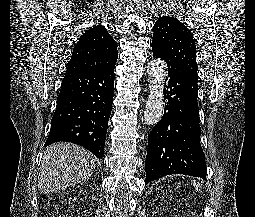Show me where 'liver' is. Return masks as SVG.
Wrapping results in <instances>:
<instances>
[{
	"label": "liver",
	"mask_w": 255,
	"mask_h": 217,
	"mask_svg": "<svg viewBox=\"0 0 255 217\" xmlns=\"http://www.w3.org/2000/svg\"><path fill=\"white\" fill-rule=\"evenodd\" d=\"M95 157L76 144L61 142L50 145L43 154L38 189L48 194L78 184L91 176Z\"/></svg>",
	"instance_id": "1"
}]
</instances>
